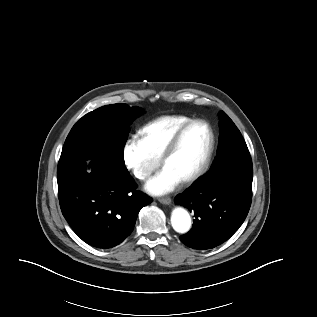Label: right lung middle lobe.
<instances>
[{
	"label": "right lung middle lobe",
	"instance_id": "1",
	"mask_svg": "<svg viewBox=\"0 0 317 317\" xmlns=\"http://www.w3.org/2000/svg\"><path fill=\"white\" fill-rule=\"evenodd\" d=\"M142 113V109L122 103L103 106L83 116L65 141L58 176L87 159L102 155H110L124 163L123 150L129 125Z\"/></svg>",
	"mask_w": 317,
	"mask_h": 317
}]
</instances>
